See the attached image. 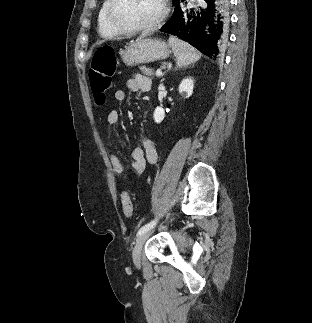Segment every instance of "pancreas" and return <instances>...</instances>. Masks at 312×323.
Masks as SVG:
<instances>
[{
    "label": "pancreas",
    "mask_w": 312,
    "mask_h": 323,
    "mask_svg": "<svg viewBox=\"0 0 312 323\" xmlns=\"http://www.w3.org/2000/svg\"><path fill=\"white\" fill-rule=\"evenodd\" d=\"M140 70L142 74H146V76H152V78H154V72L153 70H150V68H146V66H141Z\"/></svg>",
    "instance_id": "cf45deb5"
}]
</instances>
